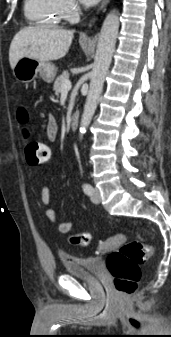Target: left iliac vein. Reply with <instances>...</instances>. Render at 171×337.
Instances as JSON below:
<instances>
[{"label": "left iliac vein", "instance_id": "left-iliac-vein-1", "mask_svg": "<svg viewBox=\"0 0 171 337\" xmlns=\"http://www.w3.org/2000/svg\"><path fill=\"white\" fill-rule=\"evenodd\" d=\"M91 200L94 203H100L101 202L100 191H99L98 188H94L93 195L91 196Z\"/></svg>", "mask_w": 171, "mask_h": 337}]
</instances>
